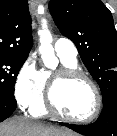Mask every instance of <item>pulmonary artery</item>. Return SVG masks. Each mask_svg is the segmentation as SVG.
I'll return each instance as SVG.
<instances>
[{"instance_id": "pulmonary-artery-1", "label": "pulmonary artery", "mask_w": 117, "mask_h": 136, "mask_svg": "<svg viewBox=\"0 0 117 136\" xmlns=\"http://www.w3.org/2000/svg\"><path fill=\"white\" fill-rule=\"evenodd\" d=\"M54 49L59 57L69 60L77 61V48L75 44L67 38H59L54 44Z\"/></svg>"}]
</instances>
